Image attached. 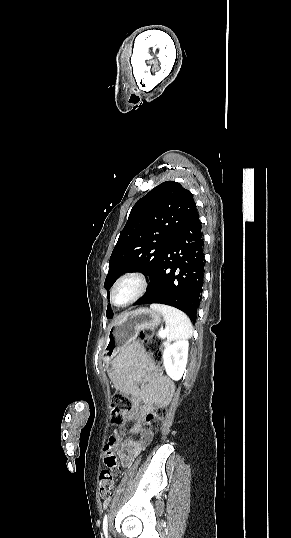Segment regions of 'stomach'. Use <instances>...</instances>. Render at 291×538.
<instances>
[{
    "mask_svg": "<svg viewBox=\"0 0 291 538\" xmlns=\"http://www.w3.org/2000/svg\"><path fill=\"white\" fill-rule=\"evenodd\" d=\"M161 322V314L147 308L124 314L107 334L103 351V361L107 364L113 354H118L124 347L134 341L142 329H153Z\"/></svg>",
    "mask_w": 291,
    "mask_h": 538,
    "instance_id": "0dacf381",
    "label": "stomach"
}]
</instances>
